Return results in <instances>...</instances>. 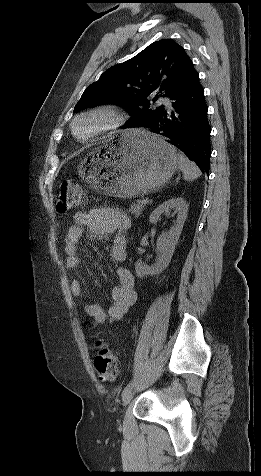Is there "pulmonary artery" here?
Here are the masks:
<instances>
[{
  "label": "pulmonary artery",
  "mask_w": 261,
  "mask_h": 476,
  "mask_svg": "<svg viewBox=\"0 0 261 476\" xmlns=\"http://www.w3.org/2000/svg\"><path fill=\"white\" fill-rule=\"evenodd\" d=\"M158 102H159V104H163L167 107L171 106L170 102L167 99L160 98Z\"/></svg>",
  "instance_id": "pulmonary-artery-1"
}]
</instances>
